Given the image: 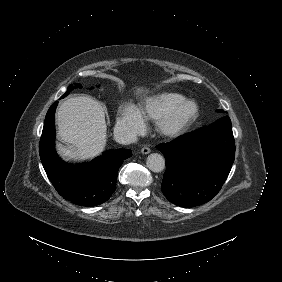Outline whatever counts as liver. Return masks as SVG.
<instances>
[{
    "instance_id": "6515ba94",
    "label": "liver",
    "mask_w": 282,
    "mask_h": 282,
    "mask_svg": "<svg viewBox=\"0 0 282 282\" xmlns=\"http://www.w3.org/2000/svg\"><path fill=\"white\" fill-rule=\"evenodd\" d=\"M150 92V88L136 85L132 89L135 97ZM57 136L72 144L75 150L56 142L55 151L64 161L87 162L100 156L107 146V125L104 108L86 96L65 100L56 113Z\"/></svg>"
}]
</instances>
